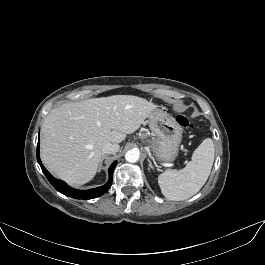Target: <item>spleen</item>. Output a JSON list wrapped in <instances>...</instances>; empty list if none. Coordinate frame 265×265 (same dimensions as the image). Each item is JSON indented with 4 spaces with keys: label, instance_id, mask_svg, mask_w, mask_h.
<instances>
[{
    "label": "spleen",
    "instance_id": "obj_1",
    "mask_svg": "<svg viewBox=\"0 0 265 265\" xmlns=\"http://www.w3.org/2000/svg\"><path fill=\"white\" fill-rule=\"evenodd\" d=\"M215 150L211 138H206L193 152L192 160L181 170H168L159 176L162 194L169 200H186L206 183L214 162Z\"/></svg>",
    "mask_w": 265,
    "mask_h": 265
}]
</instances>
